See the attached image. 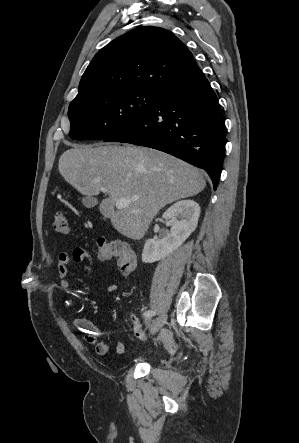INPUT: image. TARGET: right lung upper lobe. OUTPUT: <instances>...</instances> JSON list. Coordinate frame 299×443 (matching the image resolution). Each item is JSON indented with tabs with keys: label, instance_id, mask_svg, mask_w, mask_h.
<instances>
[{
	"label": "right lung upper lobe",
	"instance_id": "obj_1",
	"mask_svg": "<svg viewBox=\"0 0 299 443\" xmlns=\"http://www.w3.org/2000/svg\"><path fill=\"white\" fill-rule=\"evenodd\" d=\"M199 71L192 53L173 33L144 26L114 39L94 56L72 102L114 90L160 92Z\"/></svg>",
	"mask_w": 299,
	"mask_h": 443
}]
</instances>
